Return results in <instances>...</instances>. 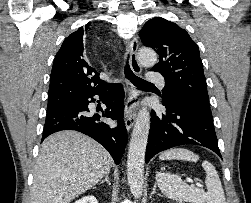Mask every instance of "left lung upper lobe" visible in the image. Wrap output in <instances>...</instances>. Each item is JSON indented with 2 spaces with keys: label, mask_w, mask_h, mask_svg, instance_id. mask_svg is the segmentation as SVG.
<instances>
[{
  "label": "left lung upper lobe",
  "mask_w": 251,
  "mask_h": 203,
  "mask_svg": "<svg viewBox=\"0 0 251 203\" xmlns=\"http://www.w3.org/2000/svg\"><path fill=\"white\" fill-rule=\"evenodd\" d=\"M139 36L145 46L159 54V63L152 71L164 76L162 99L170 103L187 98L210 109L199 48L189 34L173 22L153 18L145 23Z\"/></svg>",
  "instance_id": "1"
}]
</instances>
